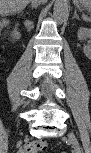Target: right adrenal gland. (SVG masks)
<instances>
[{"instance_id":"1","label":"right adrenal gland","mask_w":91,"mask_h":153,"mask_svg":"<svg viewBox=\"0 0 91 153\" xmlns=\"http://www.w3.org/2000/svg\"><path fill=\"white\" fill-rule=\"evenodd\" d=\"M31 7H32V8H37V6H34L33 4H31Z\"/></svg>"}]
</instances>
